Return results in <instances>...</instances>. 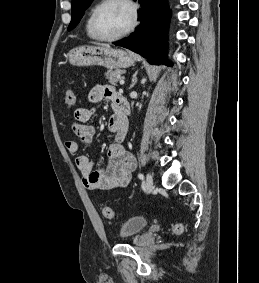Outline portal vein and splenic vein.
<instances>
[{
  "mask_svg": "<svg viewBox=\"0 0 259 283\" xmlns=\"http://www.w3.org/2000/svg\"><path fill=\"white\" fill-rule=\"evenodd\" d=\"M124 77L120 78V84L123 85L124 84Z\"/></svg>",
  "mask_w": 259,
  "mask_h": 283,
  "instance_id": "18ae733b",
  "label": "portal vein and splenic vein"
}]
</instances>
